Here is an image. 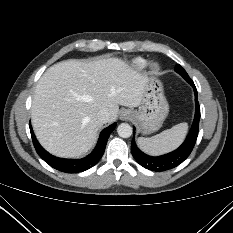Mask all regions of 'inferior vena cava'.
I'll return each instance as SVG.
<instances>
[{"label": "inferior vena cava", "mask_w": 233, "mask_h": 233, "mask_svg": "<svg viewBox=\"0 0 233 233\" xmlns=\"http://www.w3.org/2000/svg\"><path fill=\"white\" fill-rule=\"evenodd\" d=\"M97 119L101 122V123H107L109 120V112L105 109L100 110L97 113Z\"/></svg>", "instance_id": "1"}]
</instances>
